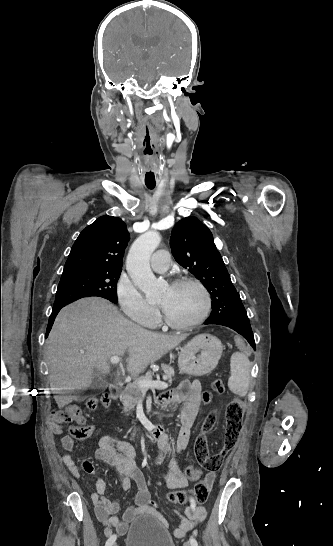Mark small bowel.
Listing matches in <instances>:
<instances>
[{"mask_svg":"<svg viewBox=\"0 0 333 546\" xmlns=\"http://www.w3.org/2000/svg\"><path fill=\"white\" fill-rule=\"evenodd\" d=\"M233 339L235 340V346L241 349L243 355L250 353V348L246 346V341L242 338L240 332H235ZM159 404L163 409L169 405L184 404V408L180 413L181 428L175 445L170 444L169 437L165 432L157 440L159 453L155 459V465L161 467L164 461H167L164 470L159 471L165 486L171 489L184 488L189 481L202 479L210 489L215 479L214 472L203 474L199 471L196 475L188 477L178 466V461L188 446L192 427L200 410V383L196 380L180 383L173 392L162 394L159 398ZM54 417L52 418V424ZM72 419H75L78 423H85V418L81 412L75 416L63 415L64 422ZM61 445L66 451V453L62 454L63 463L78 478L80 476L79 463L69 455V452H72L75 448L74 440L69 436H63ZM134 455V447L129 442L110 435L101 437L99 447L95 452V456L99 461L113 468L124 489H129L132 482L138 488L134 505L126 509L122 517H118L116 513L119 510V504L117 501L107 499L104 496L105 482L103 480L97 481L95 491L91 493L90 498L95 507L97 519L106 527L107 534L113 529L120 534L124 533L129 522L145 513H151L164 527H168L166 519L151 499L146 480L134 462ZM80 465L86 472H92L93 470L92 464L86 459L81 461ZM178 515L180 524L173 533L176 537H182L196 524L205 519L206 510L192 501L185 510V516L179 513Z\"/></svg>","mask_w":333,"mask_h":546,"instance_id":"obj_1","label":"small bowel"}]
</instances>
